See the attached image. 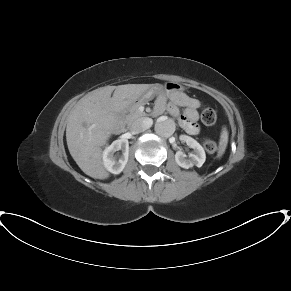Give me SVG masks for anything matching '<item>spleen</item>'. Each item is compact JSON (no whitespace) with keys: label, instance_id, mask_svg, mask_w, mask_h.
Here are the masks:
<instances>
[{"label":"spleen","instance_id":"3e777b00","mask_svg":"<svg viewBox=\"0 0 291 291\" xmlns=\"http://www.w3.org/2000/svg\"><path fill=\"white\" fill-rule=\"evenodd\" d=\"M227 144H228V131L226 127H223L220 134L219 147H218V153H217V157L219 159L225 153Z\"/></svg>","mask_w":291,"mask_h":291}]
</instances>
